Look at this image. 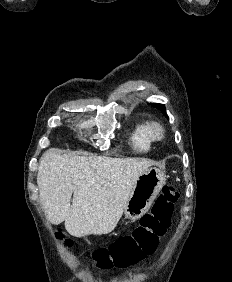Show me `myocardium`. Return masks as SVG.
<instances>
[{"label": "myocardium", "mask_w": 232, "mask_h": 282, "mask_svg": "<svg viewBox=\"0 0 232 282\" xmlns=\"http://www.w3.org/2000/svg\"><path fill=\"white\" fill-rule=\"evenodd\" d=\"M148 131L153 141H160L165 136L164 126L157 121H152L149 123Z\"/></svg>", "instance_id": "myocardium-1"}]
</instances>
